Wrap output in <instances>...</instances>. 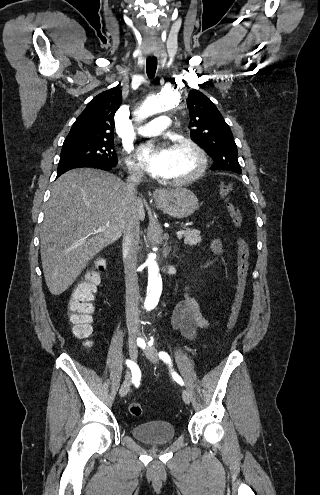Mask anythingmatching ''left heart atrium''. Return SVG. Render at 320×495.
Segmentation results:
<instances>
[{"label": "left heart atrium", "instance_id": "39dd6f15", "mask_svg": "<svg viewBox=\"0 0 320 495\" xmlns=\"http://www.w3.org/2000/svg\"><path fill=\"white\" fill-rule=\"evenodd\" d=\"M138 156L150 174L167 177L171 163L169 148L144 146L139 150Z\"/></svg>", "mask_w": 320, "mask_h": 495}]
</instances>
